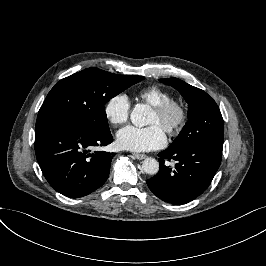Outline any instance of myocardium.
I'll use <instances>...</instances> for the list:
<instances>
[{
	"label": "myocardium",
	"mask_w": 266,
	"mask_h": 266,
	"mask_svg": "<svg viewBox=\"0 0 266 266\" xmlns=\"http://www.w3.org/2000/svg\"><path fill=\"white\" fill-rule=\"evenodd\" d=\"M153 111L166 120L164 130L170 136L178 135L188 120V107L180 99L170 98L169 100L154 106ZM173 113H176V117L171 119Z\"/></svg>",
	"instance_id": "myocardium-1"
}]
</instances>
